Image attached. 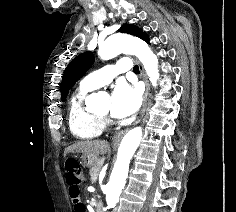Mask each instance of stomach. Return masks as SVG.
<instances>
[{
	"mask_svg": "<svg viewBox=\"0 0 236 212\" xmlns=\"http://www.w3.org/2000/svg\"><path fill=\"white\" fill-rule=\"evenodd\" d=\"M98 161V157L90 154H83L81 157V164L84 167H93Z\"/></svg>",
	"mask_w": 236,
	"mask_h": 212,
	"instance_id": "stomach-1",
	"label": "stomach"
}]
</instances>
